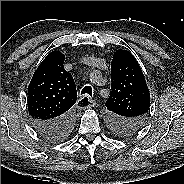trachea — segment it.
<instances>
[{"mask_svg":"<svg viewBox=\"0 0 184 184\" xmlns=\"http://www.w3.org/2000/svg\"><path fill=\"white\" fill-rule=\"evenodd\" d=\"M83 94H88V95L92 96L91 86H85L81 91V95H83Z\"/></svg>","mask_w":184,"mask_h":184,"instance_id":"3493384b","label":"trachea"}]
</instances>
